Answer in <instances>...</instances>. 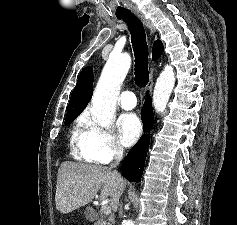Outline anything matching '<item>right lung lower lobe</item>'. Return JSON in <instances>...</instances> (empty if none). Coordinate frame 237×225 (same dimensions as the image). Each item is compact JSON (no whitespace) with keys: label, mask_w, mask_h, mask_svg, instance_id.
Segmentation results:
<instances>
[{"label":"right lung lower lobe","mask_w":237,"mask_h":225,"mask_svg":"<svg viewBox=\"0 0 237 225\" xmlns=\"http://www.w3.org/2000/svg\"><path fill=\"white\" fill-rule=\"evenodd\" d=\"M141 119L143 122L144 131H149L153 126L154 116L151 97L148 95V93L141 111ZM149 143V135H143L124 159L122 164V174L129 181H141Z\"/></svg>","instance_id":"obj_1"}]
</instances>
